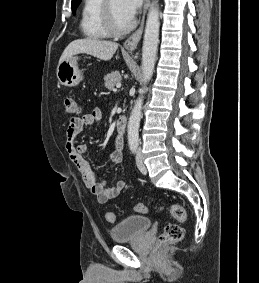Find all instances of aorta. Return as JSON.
Segmentation results:
<instances>
[{"label": "aorta", "mask_w": 259, "mask_h": 283, "mask_svg": "<svg viewBox=\"0 0 259 283\" xmlns=\"http://www.w3.org/2000/svg\"><path fill=\"white\" fill-rule=\"evenodd\" d=\"M159 9L153 2L151 4L146 27L144 32L142 47V82L146 85L153 76L159 42ZM141 96L135 102L128 122V143L136 146L139 141V125L141 120V110L143 105V88L140 89Z\"/></svg>", "instance_id": "obj_1"}]
</instances>
